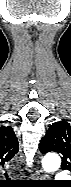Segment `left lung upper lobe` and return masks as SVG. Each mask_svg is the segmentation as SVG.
<instances>
[{"instance_id": "obj_1", "label": "left lung upper lobe", "mask_w": 71, "mask_h": 187, "mask_svg": "<svg viewBox=\"0 0 71 187\" xmlns=\"http://www.w3.org/2000/svg\"><path fill=\"white\" fill-rule=\"evenodd\" d=\"M40 151L57 152L62 156V169L71 172V125L66 121L53 123L41 139Z\"/></svg>"}]
</instances>
